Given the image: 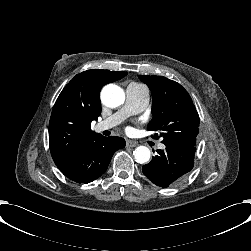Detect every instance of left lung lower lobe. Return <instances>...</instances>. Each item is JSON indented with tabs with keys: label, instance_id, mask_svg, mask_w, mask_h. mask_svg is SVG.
Instances as JSON below:
<instances>
[{
	"label": "left lung lower lobe",
	"instance_id": "1",
	"mask_svg": "<svg viewBox=\"0 0 251 251\" xmlns=\"http://www.w3.org/2000/svg\"><path fill=\"white\" fill-rule=\"evenodd\" d=\"M194 146H166L142 168L155 185L166 188L180 182L194 166Z\"/></svg>",
	"mask_w": 251,
	"mask_h": 251
}]
</instances>
